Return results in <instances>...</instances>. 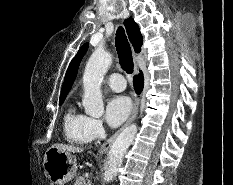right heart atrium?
I'll use <instances>...</instances> for the list:
<instances>
[{"label": "right heart atrium", "instance_id": "right-heart-atrium-1", "mask_svg": "<svg viewBox=\"0 0 233 185\" xmlns=\"http://www.w3.org/2000/svg\"><path fill=\"white\" fill-rule=\"evenodd\" d=\"M105 133V128L101 120L88 117L86 124V134L89 141L100 139Z\"/></svg>", "mask_w": 233, "mask_h": 185}]
</instances>
